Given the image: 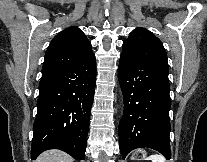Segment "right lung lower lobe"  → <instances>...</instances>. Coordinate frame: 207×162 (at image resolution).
Masks as SVG:
<instances>
[{
	"instance_id": "obj_1",
	"label": "right lung lower lobe",
	"mask_w": 207,
	"mask_h": 162,
	"mask_svg": "<svg viewBox=\"0 0 207 162\" xmlns=\"http://www.w3.org/2000/svg\"><path fill=\"white\" fill-rule=\"evenodd\" d=\"M95 83V56L42 75L32 160L48 149H60L76 160H84Z\"/></svg>"
}]
</instances>
